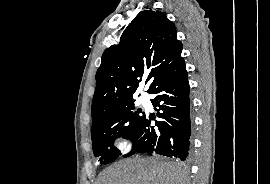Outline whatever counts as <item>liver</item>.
Masks as SVG:
<instances>
[{
	"instance_id": "1",
	"label": "liver",
	"mask_w": 270,
	"mask_h": 184,
	"mask_svg": "<svg viewBox=\"0 0 270 184\" xmlns=\"http://www.w3.org/2000/svg\"><path fill=\"white\" fill-rule=\"evenodd\" d=\"M182 164L157 158L121 160L104 170L98 184H185Z\"/></svg>"
}]
</instances>
